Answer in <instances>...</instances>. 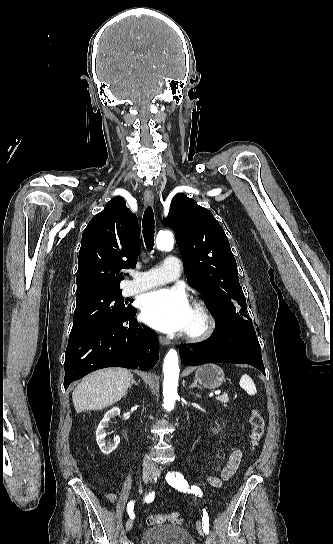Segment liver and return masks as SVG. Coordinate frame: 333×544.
<instances>
[{
  "instance_id": "obj_1",
  "label": "liver",
  "mask_w": 333,
  "mask_h": 544,
  "mask_svg": "<svg viewBox=\"0 0 333 544\" xmlns=\"http://www.w3.org/2000/svg\"><path fill=\"white\" fill-rule=\"evenodd\" d=\"M132 374L123 368H106L92 372L82 379L72 394L77 413L100 410L123 398Z\"/></svg>"
}]
</instances>
